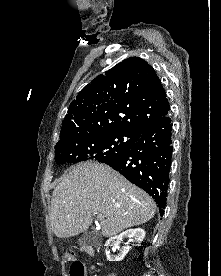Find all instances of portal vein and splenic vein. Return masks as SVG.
<instances>
[{"instance_id":"18ae733b","label":"portal vein and splenic vein","mask_w":221,"mask_h":276,"mask_svg":"<svg viewBox=\"0 0 221 276\" xmlns=\"http://www.w3.org/2000/svg\"><path fill=\"white\" fill-rule=\"evenodd\" d=\"M98 219H103V216H97Z\"/></svg>"}]
</instances>
